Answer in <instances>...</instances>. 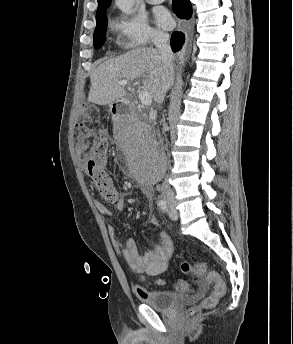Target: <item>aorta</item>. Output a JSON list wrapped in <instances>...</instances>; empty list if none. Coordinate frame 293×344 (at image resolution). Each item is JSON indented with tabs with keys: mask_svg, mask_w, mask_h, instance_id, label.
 <instances>
[{
	"mask_svg": "<svg viewBox=\"0 0 293 344\" xmlns=\"http://www.w3.org/2000/svg\"><path fill=\"white\" fill-rule=\"evenodd\" d=\"M135 0H115L117 7L124 13L131 14Z\"/></svg>",
	"mask_w": 293,
	"mask_h": 344,
	"instance_id": "1",
	"label": "aorta"
}]
</instances>
